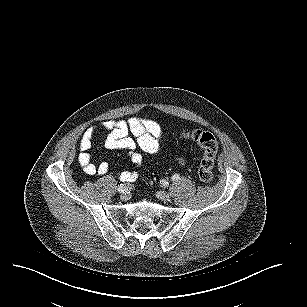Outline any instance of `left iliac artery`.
Instances as JSON below:
<instances>
[{"label":"left iliac artery","instance_id":"44dca946","mask_svg":"<svg viewBox=\"0 0 307 307\" xmlns=\"http://www.w3.org/2000/svg\"><path fill=\"white\" fill-rule=\"evenodd\" d=\"M180 179V175L179 174H174L172 177H171V180L172 181H178ZM164 184V183H163Z\"/></svg>","mask_w":307,"mask_h":307}]
</instances>
